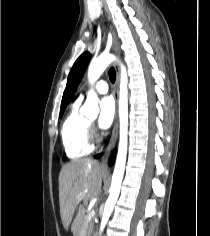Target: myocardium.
I'll return each mask as SVG.
<instances>
[{
	"label": "myocardium",
	"mask_w": 210,
	"mask_h": 236,
	"mask_svg": "<svg viewBox=\"0 0 210 236\" xmlns=\"http://www.w3.org/2000/svg\"><path fill=\"white\" fill-rule=\"evenodd\" d=\"M90 142L93 144L94 143V138L92 137V135L90 134Z\"/></svg>",
	"instance_id": "f54148a6"
}]
</instances>
